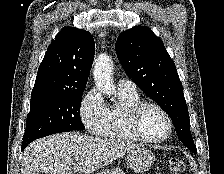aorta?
Masks as SVG:
<instances>
[{
    "instance_id": "obj_1",
    "label": "aorta",
    "mask_w": 224,
    "mask_h": 174,
    "mask_svg": "<svg viewBox=\"0 0 224 174\" xmlns=\"http://www.w3.org/2000/svg\"><path fill=\"white\" fill-rule=\"evenodd\" d=\"M113 62L107 54H100L94 65L93 78L97 88L107 96L115 93V87L112 83Z\"/></svg>"
}]
</instances>
